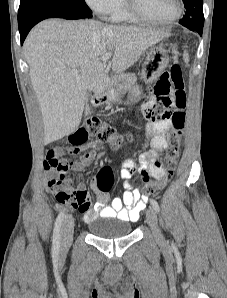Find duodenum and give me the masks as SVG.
<instances>
[{
  "instance_id": "1",
  "label": "duodenum",
  "mask_w": 227,
  "mask_h": 298,
  "mask_svg": "<svg viewBox=\"0 0 227 298\" xmlns=\"http://www.w3.org/2000/svg\"><path fill=\"white\" fill-rule=\"evenodd\" d=\"M106 99V95L104 93H98L94 96L93 102L98 105L101 104Z\"/></svg>"
}]
</instances>
